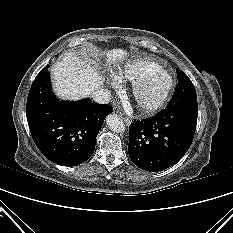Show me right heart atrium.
I'll use <instances>...</instances> for the list:
<instances>
[{"label": "right heart atrium", "instance_id": "right-heart-atrium-1", "mask_svg": "<svg viewBox=\"0 0 233 233\" xmlns=\"http://www.w3.org/2000/svg\"><path fill=\"white\" fill-rule=\"evenodd\" d=\"M110 83L114 88H118L120 86V80H119L118 76L112 74L110 76Z\"/></svg>", "mask_w": 233, "mask_h": 233}]
</instances>
